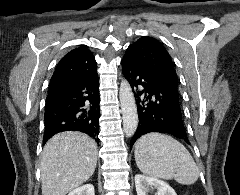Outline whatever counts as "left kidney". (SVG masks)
Instances as JSON below:
<instances>
[{
	"mask_svg": "<svg viewBox=\"0 0 240 195\" xmlns=\"http://www.w3.org/2000/svg\"><path fill=\"white\" fill-rule=\"evenodd\" d=\"M137 195H148L150 189H157L156 195H177L175 189L157 177H147L142 173H137L134 177Z\"/></svg>",
	"mask_w": 240,
	"mask_h": 195,
	"instance_id": "1",
	"label": "left kidney"
}]
</instances>
